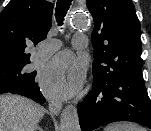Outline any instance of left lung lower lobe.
I'll use <instances>...</instances> for the list:
<instances>
[{
  "label": "left lung lower lobe",
  "instance_id": "obj_1",
  "mask_svg": "<svg viewBox=\"0 0 151 131\" xmlns=\"http://www.w3.org/2000/svg\"><path fill=\"white\" fill-rule=\"evenodd\" d=\"M141 71L135 68L109 82H93L92 90L77 106L82 131L116 121L137 122L151 129V102Z\"/></svg>",
  "mask_w": 151,
  "mask_h": 131
}]
</instances>
